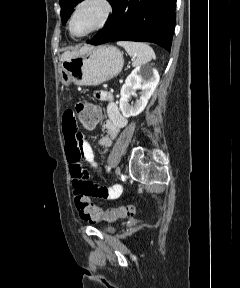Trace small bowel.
I'll use <instances>...</instances> for the list:
<instances>
[{
    "label": "small bowel",
    "mask_w": 240,
    "mask_h": 288,
    "mask_svg": "<svg viewBox=\"0 0 240 288\" xmlns=\"http://www.w3.org/2000/svg\"><path fill=\"white\" fill-rule=\"evenodd\" d=\"M97 98L106 103L107 119L104 123L106 135L98 140V144L107 150L113 140L117 137L120 130L127 125V119L120 112L112 93L99 91ZM62 131L65 140V150L69 164L72 185L75 191L102 199H116L123 191L119 184L110 187L100 186L93 182L90 174L82 166L81 160L84 159L91 166L100 171L91 145L83 139L79 133L76 123V116L73 110H66L62 117Z\"/></svg>",
    "instance_id": "1"
}]
</instances>
